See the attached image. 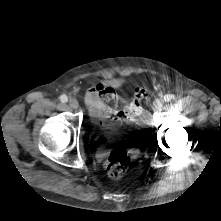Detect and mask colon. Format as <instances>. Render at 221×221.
<instances>
[{
  "label": "colon",
  "instance_id": "colon-1",
  "mask_svg": "<svg viewBox=\"0 0 221 221\" xmlns=\"http://www.w3.org/2000/svg\"><path fill=\"white\" fill-rule=\"evenodd\" d=\"M147 96L145 87H137L134 92L133 100L130 104V109L133 113L139 114L141 111V102ZM106 101L110 102L108 98ZM130 155L128 151L122 147H115L109 153L104 168L107 175L112 179H118L124 175L130 165Z\"/></svg>",
  "mask_w": 221,
  "mask_h": 221
}]
</instances>
